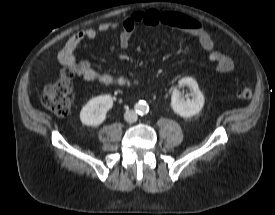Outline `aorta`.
<instances>
[{"label":"aorta","instance_id":"aorta-1","mask_svg":"<svg viewBox=\"0 0 275 215\" xmlns=\"http://www.w3.org/2000/svg\"><path fill=\"white\" fill-rule=\"evenodd\" d=\"M136 108L140 114H145L149 111V106L144 101L139 102Z\"/></svg>","mask_w":275,"mask_h":215}]
</instances>
